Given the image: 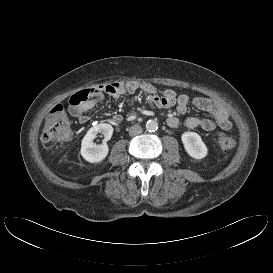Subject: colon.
Instances as JSON below:
<instances>
[{"instance_id":"obj_1","label":"colon","mask_w":273,"mask_h":273,"mask_svg":"<svg viewBox=\"0 0 273 273\" xmlns=\"http://www.w3.org/2000/svg\"><path fill=\"white\" fill-rule=\"evenodd\" d=\"M94 88L83 89L75 93L70 99L73 105H79L86 101L94 92ZM72 136L71 120L61 105H56L48 114L43 127V140L50 143L63 142ZM216 144L225 151L232 150L236 141L223 133L216 137Z\"/></svg>"}]
</instances>
